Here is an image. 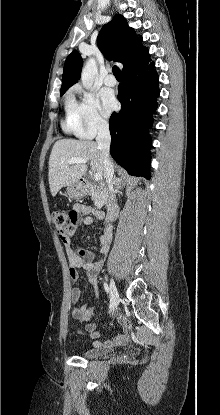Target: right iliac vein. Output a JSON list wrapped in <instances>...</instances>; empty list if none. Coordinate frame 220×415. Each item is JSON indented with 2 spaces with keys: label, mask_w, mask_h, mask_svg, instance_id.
Segmentation results:
<instances>
[{
  "label": "right iliac vein",
  "mask_w": 220,
  "mask_h": 415,
  "mask_svg": "<svg viewBox=\"0 0 220 415\" xmlns=\"http://www.w3.org/2000/svg\"><path fill=\"white\" fill-rule=\"evenodd\" d=\"M110 295H111V310L115 309L119 303V292L116 288V285L113 281V279L110 280Z\"/></svg>",
  "instance_id": "63e3f726"
}]
</instances>
